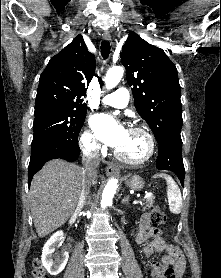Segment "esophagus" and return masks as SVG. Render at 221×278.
<instances>
[{
    "instance_id": "obj_1",
    "label": "esophagus",
    "mask_w": 221,
    "mask_h": 278,
    "mask_svg": "<svg viewBox=\"0 0 221 278\" xmlns=\"http://www.w3.org/2000/svg\"><path fill=\"white\" fill-rule=\"evenodd\" d=\"M103 39L104 40H111V34L109 32H104L103 33ZM105 172L107 175H119V168L118 166L114 165V164H108L105 168Z\"/></svg>"
}]
</instances>
